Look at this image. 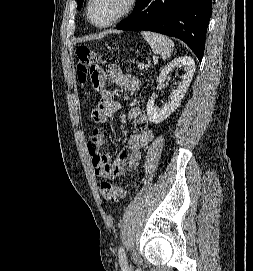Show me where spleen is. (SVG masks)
I'll return each mask as SVG.
<instances>
[{"label": "spleen", "instance_id": "spleen-1", "mask_svg": "<svg viewBox=\"0 0 253 271\" xmlns=\"http://www.w3.org/2000/svg\"><path fill=\"white\" fill-rule=\"evenodd\" d=\"M141 35L149 43L154 53L159 54L163 60L170 58L174 49V42L171 39L150 31H142Z\"/></svg>", "mask_w": 253, "mask_h": 271}]
</instances>
